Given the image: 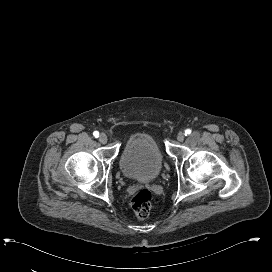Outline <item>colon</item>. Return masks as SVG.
Here are the masks:
<instances>
[{
	"label": "colon",
	"mask_w": 272,
	"mask_h": 272,
	"mask_svg": "<svg viewBox=\"0 0 272 272\" xmlns=\"http://www.w3.org/2000/svg\"><path fill=\"white\" fill-rule=\"evenodd\" d=\"M154 197L149 190L138 191L132 198V208L136 216L140 219L147 218L153 207Z\"/></svg>",
	"instance_id": "1"
}]
</instances>
